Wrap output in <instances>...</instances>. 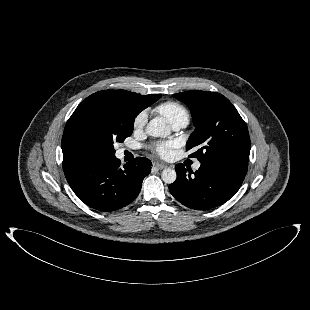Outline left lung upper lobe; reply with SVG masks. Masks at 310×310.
I'll list each match as a JSON object with an SVG mask.
<instances>
[{"mask_svg":"<svg viewBox=\"0 0 310 310\" xmlns=\"http://www.w3.org/2000/svg\"><path fill=\"white\" fill-rule=\"evenodd\" d=\"M173 97L188 105L196 128L186 149L197 151L189 157L200 163L228 160L247 165L251 148L247 125L226 97L198 90Z\"/></svg>","mask_w":310,"mask_h":310,"instance_id":"5c2ea615","label":"left lung upper lobe"}]
</instances>
